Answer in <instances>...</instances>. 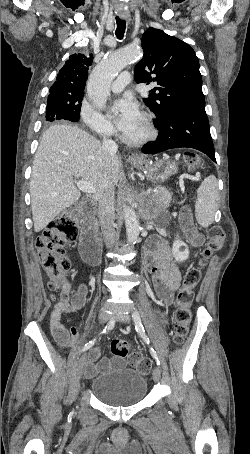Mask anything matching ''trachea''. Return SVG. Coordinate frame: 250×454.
<instances>
[{"label":"trachea","instance_id":"1","mask_svg":"<svg viewBox=\"0 0 250 454\" xmlns=\"http://www.w3.org/2000/svg\"><path fill=\"white\" fill-rule=\"evenodd\" d=\"M116 24H117V29L115 31V34L118 39H123L125 29H126V22L119 17H116Z\"/></svg>","mask_w":250,"mask_h":454}]
</instances>
